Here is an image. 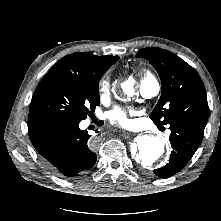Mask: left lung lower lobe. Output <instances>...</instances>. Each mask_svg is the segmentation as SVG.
I'll return each instance as SVG.
<instances>
[{"mask_svg":"<svg viewBox=\"0 0 221 221\" xmlns=\"http://www.w3.org/2000/svg\"><path fill=\"white\" fill-rule=\"evenodd\" d=\"M170 142L173 148L169 162L154 173L161 178L179 172L192 158L203 139L204 129L192 124L174 122L170 124Z\"/></svg>","mask_w":221,"mask_h":221,"instance_id":"left-lung-lower-lobe-1","label":"left lung lower lobe"}]
</instances>
